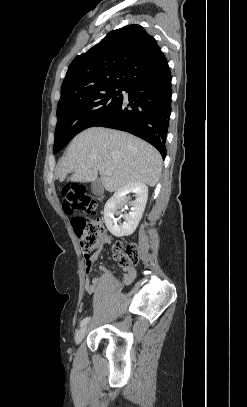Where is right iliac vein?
I'll use <instances>...</instances> for the list:
<instances>
[{"label":"right iliac vein","mask_w":247,"mask_h":407,"mask_svg":"<svg viewBox=\"0 0 247 407\" xmlns=\"http://www.w3.org/2000/svg\"><path fill=\"white\" fill-rule=\"evenodd\" d=\"M85 333H86V326H83L82 328H80L76 332V334H75V342H76V344H79L82 341V339L85 336Z\"/></svg>","instance_id":"right-iliac-vein-1"}]
</instances>
